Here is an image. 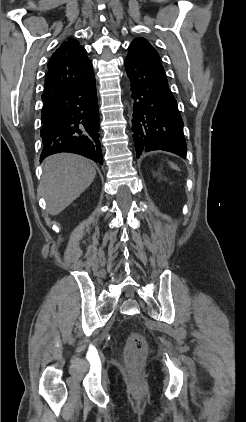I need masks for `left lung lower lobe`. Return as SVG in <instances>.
Masks as SVG:
<instances>
[{
    "label": "left lung lower lobe",
    "instance_id": "obj_1",
    "mask_svg": "<svg viewBox=\"0 0 246 422\" xmlns=\"http://www.w3.org/2000/svg\"><path fill=\"white\" fill-rule=\"evenodd\" d=\"M128 51L125 67L134 100L132 131L137 158L154 150L185 158L183 120L165 74L132 46Z\"/></svg>",
    "mask_w": 246,
    "mask_h": 422
}]
</instances>
